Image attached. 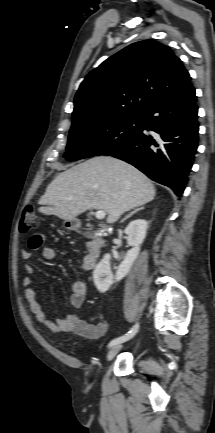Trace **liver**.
Instances as JSON below:
<instances>
[{"instance_id":"6515ba94","label":"liver","mask_w":215,"mask_h":433,"mask_svg":"<svg viewBox=\"0 0 215 433\" xmlns=\"http://www.w3.org/2000/svg\"><path fill=\"white\" fill-rule=\"evenodd\" d=\"M156 190L146 175L109 156L93 157L60 173L39 204L45 215L72 220L86 210L107 212V222L154 199Z\"/></svg>"}]
</instances>
